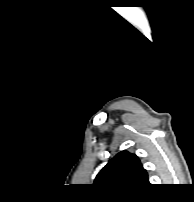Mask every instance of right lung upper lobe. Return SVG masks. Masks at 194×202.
<instances>
[{
    "mask_svg": "<svg viewBox=\"0 0 194 202\" xmlns=\"http://www.w3.org/2000/svg\"><path fill=\"white\" fill-rule=\"evenodd\" d=\"M94 185L107 191L128 192L149 187L150 183L138 157L121 151L98 173Z\"/></svg>",
    "mask_w": 194,
    "mask_h": 202,
    "instance_id": "cb5924a9",
    "label": "right lung upper lobe"
}]
</instances>
